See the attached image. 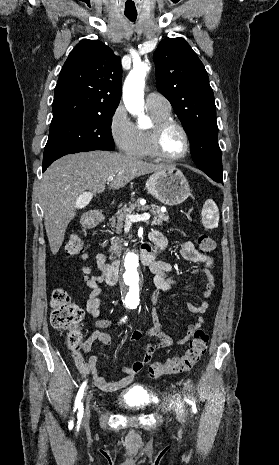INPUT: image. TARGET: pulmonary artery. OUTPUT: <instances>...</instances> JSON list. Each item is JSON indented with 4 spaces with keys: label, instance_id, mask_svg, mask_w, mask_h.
Here are the masks:
<instances>
[{
    "label": "pulmonary artery",
    "instance_id": "obj_1",
    "mask_svg": "<svg viewBox=\"0 0 279 465\" xmlns=\"http://www.w3.org/2000/svg\"><path fill=\"white\" fill-rule=\"evenodd\" d=\"M146 106L162 111H170L171 105L169 101L160 93L151 92L146 97Z\"/></svg>",
    "mask_w": 279,
    "mask_h": 465
}]
</instances>
